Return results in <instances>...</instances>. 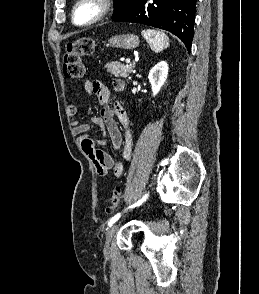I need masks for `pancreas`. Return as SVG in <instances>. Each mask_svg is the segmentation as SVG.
<instances>
[{
	"mask_svg": "<svg viewBox=\"0 0 259 294\" xmlns=\"http://www.w3.org/2000/svg\"><path fill=\"white\" fill-rule=\"evenodd\" d=\"M106 70L107 72L111 73L112 75L116 77H123L126 78L131 74L134 70V63L133 64H121L120 62H111L106 64Z\"/></svg>",
	"mask_w": 259,
	"mask_h": 294,
	"instance_id": "1",
	"label": "pancreas"
}]
</instances>
